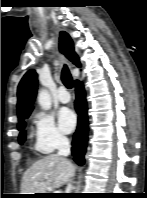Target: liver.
Returning <instances> with one entry per match:
<instances>
[{
  "label": "liver",
  "mask_w": 147,
  "mask_h": 198,
  "mask_svg": "<svg viewBox=\"0 0 147 198\" xmlns=\"http://www.w3.org/2000/svg\"><path fill=\"white\" fill-rule=\"evenodd\" d=\"M75 173V166L58 154H50L28 168L21 182V194L46 193L65 184Z\"/></svg>",
  "instance_id": "1"
}]
</instances>
